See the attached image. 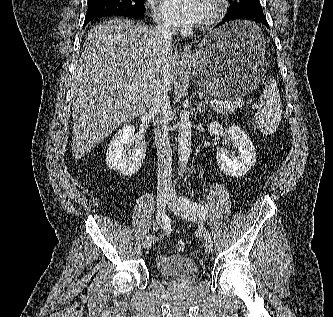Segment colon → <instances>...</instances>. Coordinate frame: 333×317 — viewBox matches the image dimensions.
I'll use <instances>...</instances> for the list:
<instances>
[{"mask_svg": "<svg viewBox=\"0 0 333 317\" xmlns=\"http://www.w3.org/2000/svg\"><path fill=\"white\" fill-rule=\"evenodd\" d=\"M175 249L178 251V252H182L184 249H185V243L181 240L177 241L175 243Z\"/></svg>", "mask_w": 333, "mask_h": 317, "instance_id": "1", "label": "colon"}]
</instances>
